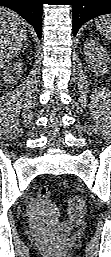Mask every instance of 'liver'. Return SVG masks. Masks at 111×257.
Instances as JSON below:
<instances>
[{
	"instance_id": "1",
	"label": "liver",
	"mask_w": 111,
	"mask_h": 257,
	"mask_svg": "<svg viewBox=\"0 0 111 257\" xmlns=\"http://www.w3.org/2000/svg\"><path fill=\"white\" fill-rule=\"evenodd\" d=\"M27 23L14 11L0 9V66L3 67L21 50L27 39Z\"/></svg>"
}]
</instances>
